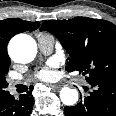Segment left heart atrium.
I'll list each match as a JSON object with an SVG mask.
<instances>
[{"label":"left heart atrium","mask_w":116,"mask_h":116,"mask_svg":"<svg viewBox=\"0 0 116 116\" xmlns=\"http://www.w3.org/2000/svg\"><path fill=\"white\" fill-rule=\"evenodd\" d=\"M55 67L56 63L50 61L46 66L42 67L35 73V78L46 82L54 80L56 78Z\"/></svg>","instance_id":"left-heart-atrium-1"}]
</instances>
